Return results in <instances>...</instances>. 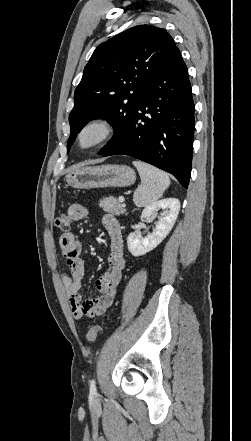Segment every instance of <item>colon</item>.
Here are the masks:
<instances>
[{"label":"colon","instance_id":"colon-1","mask_svg":"<svg viewBox=\"0 0 251 441\" xmlns=\"http://www.w3.org/2000/svg\"><path fill=\"white\" fill-rule=\"evenodd\" d=\"M71 223H72V218L70 215L67 214H62L55 219V226L63 234L69 233V230L71 228ZM101 329H102L101 325L92 326L87 332V340L91 343L94 342L97 339Z\"/></svg>","mask_w":251,"mask_h":441}]
</instances>
